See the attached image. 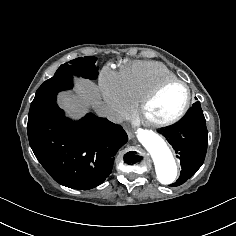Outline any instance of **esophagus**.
I'll list each match as a JSON object with an SVG mask.
<instances>
[{
	"instance_id": "34e87169",
	"label": "esophagus",
	"mask_w": 236,
	"mask_h": 236,
	"mask_svg": "<svg viewBox=\"0 0 236 236\" xmlns=\"http://www.w3.org/2000/svg\"><path fill=\"white\" fill-rule=\"evenodd\" d=\"M128 136H129L130 139L134 138V135L131 132H128Z\"/></svg>"
}]
</instances>
